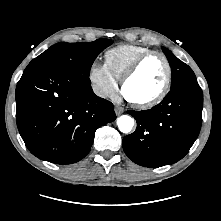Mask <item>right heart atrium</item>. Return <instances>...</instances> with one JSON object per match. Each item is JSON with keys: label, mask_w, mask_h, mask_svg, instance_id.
I'll return each instance as SVG.
<instances>
[{"label": "right heart atrium", "mask_w": 221, "mask_h": 221, "mask_svg": "<svg viewBox=\"0 0 221 221\" xmlns=\"http://www.w3.org/2000/svg\"><path fill=\"white\" fill-rule=\"evenodd\" d=\"M89 85L101 99L115 100L119 94L118 82L109 74L104 64L93 61L87 71Z\"/></svg>", "instance_id": "obj_1"}]
</instances>
